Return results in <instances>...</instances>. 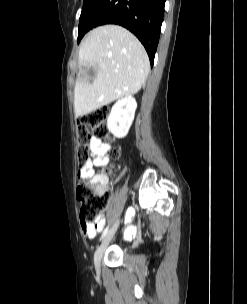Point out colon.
Here are the masks:
<instances>
[{"label":"colon","mask_w":247,"mask_h":304,"mask_svg":"<svg viewBox=\"0 0 247 304\" xmlns=\"http://www.w3.org/2000/svg\"><path fill=\"white\" fill-rule=\"evenodd\" d=\"M108 115L109 112L106 108H99L79 119L77 159L80 164H85L88 161L90 140L93 137H107ZM109 152L112 156H118L119 149L114 146L109 149ZM109 199L110 193L102 180L91 182L81 180L78 186L81 222L86 225L95 223L106 209Z\"/></svg>","instance_id":"colon-1"}]
</instances>
